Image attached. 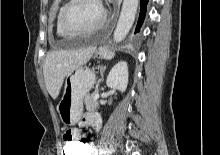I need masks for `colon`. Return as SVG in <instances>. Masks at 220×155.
Listing matches in <instances>:
<instances>
[{
	"label": "colon",
	"instance_id": "1",
	"mask_svg": "<svg viewBox=\"0 0 220 155\" xmlns=\"http://www.w3.org/2000/svg\"><path fill=\"white\" fill-rule=\"evenodd\" d=\"M89 142L86 139H75V141L64 142L61 146L62 155H86Z\"/></svg>",
	"mask_w": 220,
	"mask_h": 155
}]
</instances>
